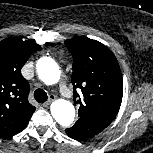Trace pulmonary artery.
Segmentation results:
<instances>
[{"mask_svg": "<svg viewBox=\"0 0 153 153\" xmlns=\"http://www.w3.org/2000/svg\"><path fill=\"white\" fill-rule=\"evenodd\" d=\"M60 91L64 96H70V91L65 84H61Z\"/></svg>", "mask_w": 153, "mask_h": 153, "instance_id": "e3ab8cb5", "label": "pulmonary artery"}]
</instances>
